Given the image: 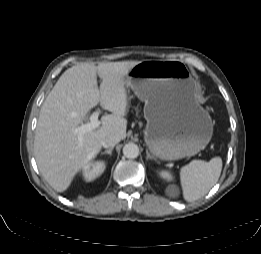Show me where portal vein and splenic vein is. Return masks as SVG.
<instances>
[{"instance_id":"obj_1","label":"portal vein and splenic vein","mask_w":261,"mask_h":254,"mask_svg":"<svg viewBox=\"0 0 261 254\" xmlns=\"http://www.w3.org/2000/svg\"><path fill=\"white\" fill-rule=\"evenodd\" d=\"M100 112H101L100 110L93 112L92 115L90 116V122L76 127L74 129V132L79 134L81 137L85 132L98 128L100 125V121L98 120V116Z\"/></svg>"}]
</instances>
